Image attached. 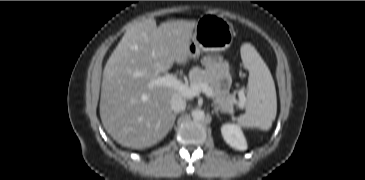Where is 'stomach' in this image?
Here are the masks:
<instances>
[{
    "instance_id": "0dacf381",
    "label": "stomach",
    "mask_w": 365,
    "mask_h": 180,
    "mask_svg": "<svg viewBox=\"0 0 365 180\" xmlns=\"http://www.w3.org/2000/svg\"><path fill=\"white\" fill-rule=\"evenodd\" d=\"M232 42L233 28L226 19L203 15L197 20L194 32L188 41L190 58H196L201 51H225Z\"/></svg>"
}]
</instances>
